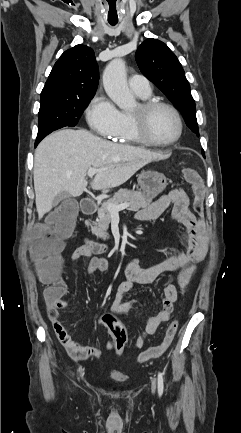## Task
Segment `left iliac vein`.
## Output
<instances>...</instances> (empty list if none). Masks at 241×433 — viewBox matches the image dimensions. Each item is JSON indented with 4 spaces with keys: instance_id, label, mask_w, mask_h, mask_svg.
I'll return each mask as SVG.
<instances>
[{
    "instance_id": "left-iliac-vein-1",
    "label": "left iliac vein",
    "mask_w": 241,
    "mask_h": 433,
    "mask_svg": "<svg viewBox=\"0 0 241 433\" xmlns=\"http://www.w3.org/2000/svg\"><path fill=\"white\" fill-rule=\"evenodd\" d=\"M155 389H156V382H155V380L153 379V380H152V392H153V393L155 392Z\"/></svg>"
}]
</instances>
